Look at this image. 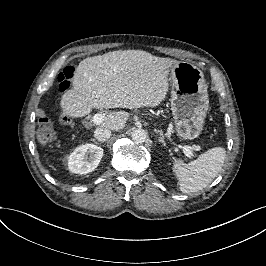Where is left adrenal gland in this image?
Here are the masks:
<instances>
[{
    "label": "left adrenal gland",
    "mask_w": 266,
    "mask_h": 266,
    "mask_svg": "<svg viewBox=\"0 0 266 266\" xmlns=\"http://www.w3.org/2000/svg\"><path fill=\"white\" fill-rule=\"evenodd\" d=\"M157 133H159L160 137H159V142H162L165 145V136L163 134L162 130H156Z\"/></svg>",
    "instance_id": "1"
}]
</instances>
